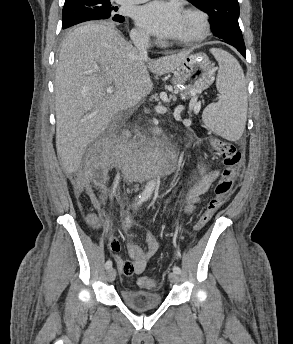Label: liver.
Returning <instances> with one entry per match:
<instances>
[{"instance_id":"1","label":"liver","mask_w":293,"mask_h":344,"mask_svg":"<svg viewBox=\"0 0 293 344\" xmlns=\"http://www.w3.org/2000/svg\"><path fill=\"white\" fill-rule=\"evenodd\" d=\"M189 53L149 60L111 25L88 23L72 31L55 73L56 148L64 171L78 170L87 146L126 108L127 92L136 105L152 91L149 70L169 73ZM110 85L113 94L106 92Z\"/></svg>"}]
</instances>
